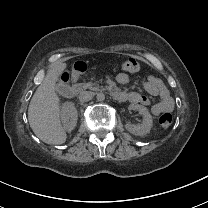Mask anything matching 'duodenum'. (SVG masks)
I'll use <instances>...</instances> for the list:
<instances>
[{
    "mask_svg": "<svg viewBox=\"0 0 208 208\" xmlns=\"http://www.w3.org/2000/svg\"><path fill=\"white\" fill-rule=\"evenodd\" d=\"M84 89V85L82 83H76L71 88V95L75 96L79 94ZM113 97L117 100H125L126 96L122 92H113Z\"/></svg>",
    "mask_w": 208,
    "mask_h": 208,
    "instance_id": "410a0bca",
    "label": "duodenum"
}]
</instances>
